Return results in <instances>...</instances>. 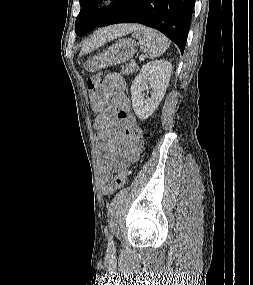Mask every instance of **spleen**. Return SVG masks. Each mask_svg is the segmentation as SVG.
<instances>
[{
	"label": "spleen",
	"mask_w": 253,
	"mask_h": 285,
	"mask_svg": "<svg viewBox=\"0 0 253 285\" xmlns=\"http://www.w3.org/2000/svg\"><path fill=\"white\" fill-rule=\"evenodd\" d=\"M132 36L139 41L140 49L147 52L150 58L161 56L170 46V42L165 35L142 25L136 26Z\"/></svg>",
	"instance_id": "3e777b00"
}]
</instances>
